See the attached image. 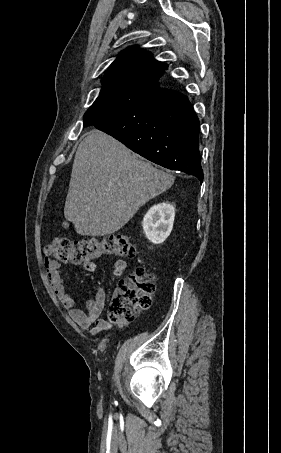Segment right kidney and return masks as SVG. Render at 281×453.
Listing matches in <instances>:
<instances>
[{"instance_id":"right-kidney-1","label":"right kidney","mask_w":281,"mask_h":453,"mask_svg":"<svg viewBox=\"0 0 281 453\" xmlns=\"http://www.w3.org/2000/svg\"><path fill=\"white\" fill-rule=\"evenodd\" d=\"M174 216L173 204H169V202L153 204L146 212L142 222L147 239L154 245L164 243L173 229Z\"/></svg>"}]
</instances>
